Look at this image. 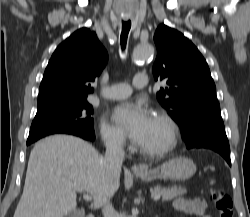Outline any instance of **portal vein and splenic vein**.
Here are the masks:
<instances>
[{
  "mask_svg": "<svg viewBox=\"0 0 250 217\" xmlns=\"http://www.w3.org/2000/svg\"><path fill=\"white\" fill-rule=\"evenodd\" d=\"M74 188H75L76 191L81 192V193H84V198H85L86 200L89 201V200L92 199L91 196H90L89 194H86V193H85V190H84L83 188H80V187H74ZM151 197H152V199L155 200V201L160 199V195H159V194L152 195Z\"/></svg>",
  "mask_w": 250,
  "mask_h": 217,
  "instance_id": "1",
  "label": "portal vein and splenic vein"
}]
</instances>
